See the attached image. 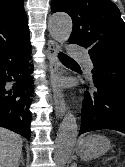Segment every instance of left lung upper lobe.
<instances>
[{
	"label": "left lung upper lobe",
	"mask_w": 125,
	"mask_h": 167,
	"mask_svg": "<svg viewBox=\"0 0 125 167\" xmlns=\"http://www.w3.org/2000/svg\"><path fill=\"white\" fill-rule=\"evenodd\" d=\"M51 11L71 16L69 42L89 49L93 76L103 71L125 75V23L111 0H52Z\"/></svg>",
	"instance_id": "left-lung-upper-lobe-1"
}]
</instances>
